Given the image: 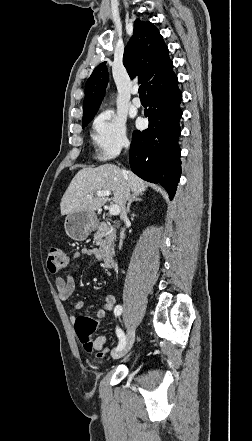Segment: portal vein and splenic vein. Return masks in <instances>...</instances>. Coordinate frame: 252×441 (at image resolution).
I'll list each match as a JSON object with an SVG mask.
<instances>
[{"label": "portal vein and splenic vein", "instance_id": "portal-vein-and-splenic-vein-1", "mask_svg": "<svg viewBox=\"0 0 252 441\" xmlns=\"http://www.w3.org/2000/svg\"><path fill=\"white\" fill-rule=\"evenodd\" d=\"M97 196L102 197V196H110L111 195V191L109 190H103V191H98L96 193ZM87 198H92V195H88ZM109 213L110 215L116 216L120 213V207L118 205H111L109 207Z\"/></svg>", "mask_w": 252, "mask_h": 441}]
</instances>
